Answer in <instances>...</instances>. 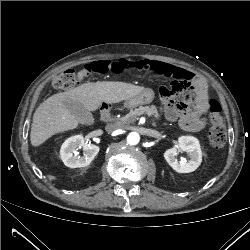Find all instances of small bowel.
I'll return each instance as SVG.
<instances>
[{
    "label": "small bowel",
    "mask_w": 250,
    "mask_h": 250,
    "mask_svg": "<svg viewBox=\"0 0 250 250\" xmlns=\"http://www.w3.org/2000/svg\"><path fill=\"white\" fill-rule=\"evenodd\" d=\"M134 66L141 70L182 79L183 87L181 91L191 90L195 92L196 97L191 102L175 101L172 98V89L163 87L161 94L163 96L164 115L170 121L178 120L181 127L187 131L198 132L206 127L208 94L204 80L186 69L166 62L143 58L134 62ZM78 77L82 80L85 78V74L79 72Z\"/></svg>",
    "instance_id": "1"
}]
</instances>
